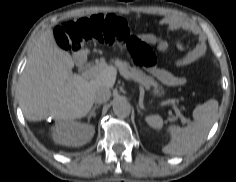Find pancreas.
I'll use <instances>...</instances> for the list:
<instances>
[{
	"instance_id": "pancreas-1",
	"label": "pancreas",
	"mask_w": 236,
	"mask_h": 182,
	"mask_svg": "<svg viewBox=\"0 0 236 182\" xmlns=\"http://www.w3.org/2000/svg\"><path fill=\"white\" fill-rule=\"evenodd\" d=\"M116 66L119 69L120 74L126 79H132L135 82L139 83L145 89H149L151 86L158 88V84L154 79L146 75L143 71L138 68L130 67L126 62H117Z\"/></svg>"
}]
</instances>
